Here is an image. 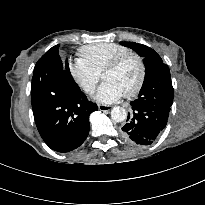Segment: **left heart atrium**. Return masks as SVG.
<instances>
[{
  "label": "left heart atrium",
  "mask_w": 205,
  "mask_h": 205,
  "mask_svg": "<svg viewBox=\"0 0 205 205\" xmlns=\"http://www.w3.org/2000/svg\"><path fill=\"white\" fill-rule=\"evenodd\" d=\"M124 95L123 90L111 81H104L97 90L95 99L102 103H113Z\"/></svg>",
  "instance_id": "39dd6f15"
}]
</instances>
